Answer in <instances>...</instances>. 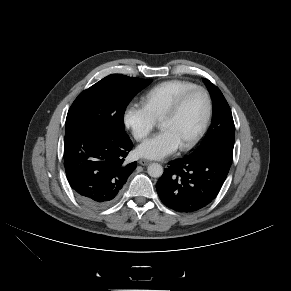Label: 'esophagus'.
<instances>
[{
  "instance_id": "34e87169",
  "label": "esophagus",
  "mask_w": 291,
  "mask_h": 291,
  "mask_svg": "<svg viewBox=\"0 0 291 291\" xmlns=\"http://www.w3.org/2000/svg\"><path fill=\"white\" fill-rule=\"evenodd\" d=\"M151 163V161L149 160H146V159H140L139 160V164L142 165V166H147Z\"/></svg>"
}]
</instances>
